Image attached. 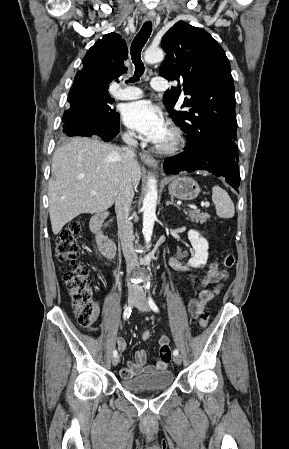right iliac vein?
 <instances>
[{"label":"right iliac vein","mask_w":289,"mask_h":449,"mask_svg":"<svg viewBox=\"0 0 289 449\" xmlns=\"http://www.w3.org/2000/svg\"><path fill=\"white\" fill-rule=\"evenodd\" d=\"M137 302V295L135 293H130L128 296V304L133 306ZM119 363V356H114L112 358L113 366H116Z\"/></svg>","instance_id":"obj_1"}]
</instances>
